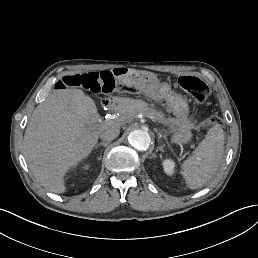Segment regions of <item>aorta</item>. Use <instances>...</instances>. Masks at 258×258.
<instances>
[{
	"instance_id": "1",
	"label": "aorta",
	"mask_w": 258,
	"mask_h": 258,
	"mask_svg": "<svg viewBox=\"0 0 258 258\" xmlns=\"http://www.w3.org/2000/svg\"><path fill=\"white\" fill-rule=\"evenodd\" d=\"M128 142L132 147L139 151H145L149 148L151 138L146 130L135 129L130 132L128 136Z\"/></svg>"
}]
</instances>
